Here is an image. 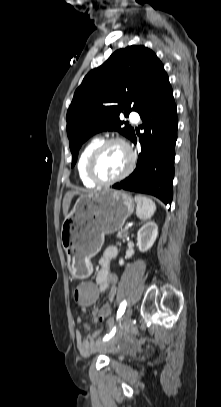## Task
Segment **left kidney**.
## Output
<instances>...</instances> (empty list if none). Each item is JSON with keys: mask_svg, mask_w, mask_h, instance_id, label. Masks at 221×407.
<instances>
[{"mask_svg": "<svg viewBox=\"0 0 221 407\" xmlns=\"http://www.w3.org/2000/svg\"><path fill=\"white\" fill-rule=\"evenodd\" d=\"M158 235V226L155 222H147L144 224L137 233V246L141 252H146L149 250ZM119 264L123 265V259L119 260Z\"/></svg>", "mask_w": 221, "mask_h": 407, "instance_id": "obj_1", "label": "left kidney"}]
</instances>
